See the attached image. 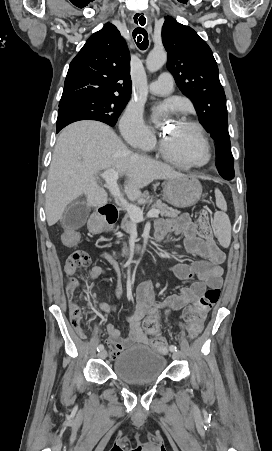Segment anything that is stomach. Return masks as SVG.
<instances>
[{
    "instance_id": "stomach-1",
    "label": "stomach",
    "mask_w": 272,
    "mask_h": 451,
    "mask_svg": "<svg viewBox=\"0 0 272 451\" xmlns=\"http://www.w3.org/2000/svg\"><path fill=\"white\" fill-rule=\"evenodd\" d=\"M202 186L195 176L168 178L163 190V200L176 208H189L199 202Z\"/></svg>"
}]
</instances>
